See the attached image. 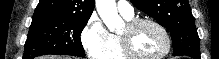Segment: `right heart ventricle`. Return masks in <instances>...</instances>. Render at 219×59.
<instances>
[{
	"label": "right heart ventricle",
	"mask_w": 219,
	"mask_h": 59,
	"mask_svg": "<svg viewBox=\"0 0 219 59\" xmlns=\"http://www.w3.org/2000/svg\"><path fill=\"white\" fill-rule=\"evenodd\" d=\"M127 20H131V18H126ZM107 59H127L120 46V42L117 36H113V45L109 51Z\"/></svg>",
	"instance_id": "e07e8e85"
}]
</instances>
